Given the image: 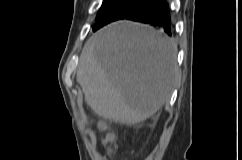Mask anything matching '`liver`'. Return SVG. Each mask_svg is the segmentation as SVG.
<instances>
[{"label": "liver", "instance_id": "1", "mask_svg": "<svg viewBox=\"0 0 242 160\" xmlns=\"http://www.w3.org/2000/svg\"><path fill=\"white\" fill-rule=\"evenodd\" d=\"M176 55L173 40L145 25L118 21L87 40L76 79L96 114L134 125L170 98L178 77Z\"/></svg>", "mask_w": 242, "mask_h": 160}]
</instances>
